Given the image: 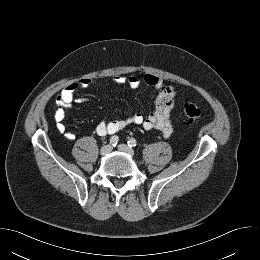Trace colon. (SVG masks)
I'll return each mask as SVG.
<instances>
[{
  "label": "colon",
  "instance_id": "1",
  "mask_svg": "<svg viewBox=\"0 0 260 260\" xmlns=\"http://www.w3.org/2000/svg\"><path fill=\"white\" fill-rule=\"evenodd\" d=\"M183 109L187 122L190 124L195 123L201 117V109L193 103H186Z\"/></svg>",
  "mask_w": 260,
  "mask_h": 260
}]
</instances>
